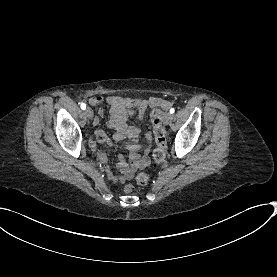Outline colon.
Returning a JSON list of instances; mask_svg holds the SVG:
<instances>
[{"instance_id":"5ec220e1","label":"colon","mask_w":277,"mask_h":277,"mask_svg":"<svg viewBox=\"0 0 277 277\" xmlns=\"http://www.w3.org/2000/svg\"><path fill=\"white\" fill-rule=\"evenodd\" d=\"M134 102V100H132ZM152 122L153 128L155 132V141H156V149L153 153V160L156 163H160L164 159L165 148H166V137L163 130V112L159 108H155L152 112ZM150 173H140L136 176V182L138 184L144 185L147 184L151 180Z\"/></svg>"}]
</instances>
